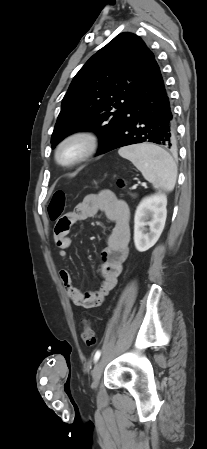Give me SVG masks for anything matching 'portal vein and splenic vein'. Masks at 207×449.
I'll use <instances>...</instances> for the list:
<instances>
[{"instance_id":"obj_1","label":"portal vein and splenic vein","mask_w":207,"mask_h":449,"mask_svg":"<svg viewBox=\"0 0 207 449\" xmlns=\"http://www.w3.org/2000/svg\"><path fill=\"white\" fill-rule=\"evenodd\" d=\"M142 186H146V183H142ZM135 188V187H134Z\"/></svg>"}]
</instances>
